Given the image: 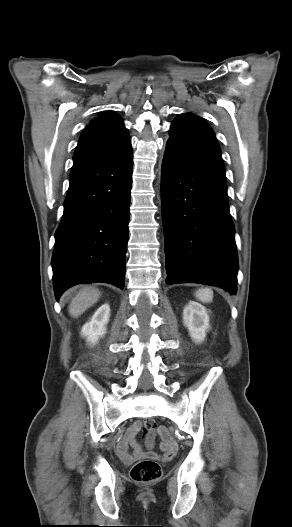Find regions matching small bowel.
I'll return each mask as SVG.
<instances>
[{
  "label": "small bowel",
  "instance_id": "1",
  "mask_svg": "<svg viewBox=\"0 0 292 527\" xmlns=\"http://www.w3.org/2000/svg\"><path fill=\"white\" fill-rule=\"evenodd\" d=\"M141 430L149 432L150 439L154 435V431L158 433L161 438L160 449L163 452L161 462L163 464H168L170 462V457L176 452V443L167 433V427L163 426L161 423H155L153 425V430H145L142 426V423H135L132 425L121 441L117 444L116 451L119 457L127 463V466H130V462H132L135 458L153 457L152 461L154 463L159 461V458L155 453L143 451L142 447L137 442L136 436ZM148 443L151 444V441L149 440ZM130 447L133 449L132 454L129 452Z\"/></svg>",
  "mask_w": 292,
  "mask_h": 527
}]
</instances>
